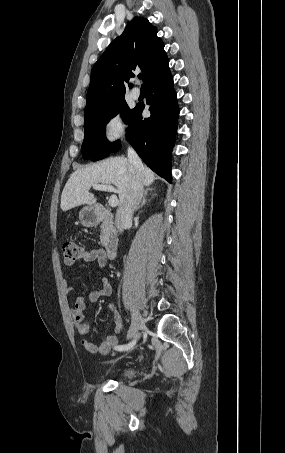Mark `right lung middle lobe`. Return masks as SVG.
<instances>
[{"label": "right lung middle lobe", "mask_w": 285, "mask_h": 453, "mask_svg": "<svg viewBox=\"0 0 285 453\" xmlns=\"http://www.w3.org/2000/svg\"><path fill=\"white\" fill-rule=\"evenodd\" d=\"M134 111L135 108L129 109L123 97L85 114V137L81 150L83 158L97 161L111 154L119 145V141L108 142L105 135L106 124L119 112L122 119L129 124Z\"/></svg>", "instance_id": "1"}]
</instances>
